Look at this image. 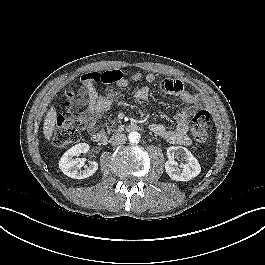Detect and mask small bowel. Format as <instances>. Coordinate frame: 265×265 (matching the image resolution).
<instances>
[{
  "instance_id": "c3829d8e",
  "label": "small bowel",
  "mask_w": 265,
  "mask_h": 265,
  "mask_svg": "<svg viewBox=\"0 0 265 265\" xmlns=\"http://www.w3.org/2000/svg\"><path fill=\"white\" fill-rule=\"evenodd\" d=\"M113 72L117 73L116 80L112 83H115L121 88L128 86L131 82H137L142 79L147 83H153L156 79L155 75L152 73L143 74L141 72H135L130 76H123L118 70ZM91 74L92 73H87L81 77V84L84 88L83 97L86 104L84 122L89 131L94 129L97 118L111 107L117 97V92L112 87H108L105 94H100L95 84L110 83L95 82L91 78ZM160 91L163 94L179 97L185 107L175 115L174 128H168L162 124L153 123L150 125L151 131L169 143L184 146L190 145L191 141L188 136L189 119L200 107L198 97L188 91L183 83L178 80H164L160 84ZM149 95L150 88L148 86H142L135 92V97L140 101L147 100Z\"/></svg>"
}]
</instances>
